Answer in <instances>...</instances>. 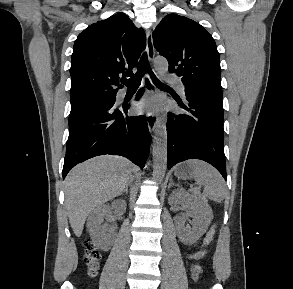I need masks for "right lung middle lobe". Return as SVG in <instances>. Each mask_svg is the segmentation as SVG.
Wrapping results in <instances>:
<instances>
[{
  "mask_svg": "<svg viewBox=\"0 0 293 289\" xmlns=\"http://www.w3.org/2000/svg\"><path fill=\"white\" fill-rule=\"evenodd\" d=\"M115 98H116V95H111V96L95 97V98H89V99H85V100H81L77 102H72L69 119H73L87 112H90L94 109H97L101 106H104L114 101Z\"/></svg>",
  "mask_w": 293,
  "mask_h": 289,
  "instance_id": "right-lung-middle-lobe-1",
  "label": "right lung middle lobe"
}]
</instances>
